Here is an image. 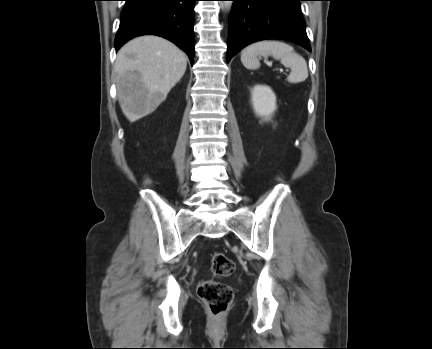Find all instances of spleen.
Masks as SVG:
<instances>
[{
    "mask_svg": "<svg viewBox=\"0 0 432 349\" xmlns=\"http://www.w3.org/2000/svg\"><path fill=\"white\" fill-rule=\"evenodd\" d=\"M258 56H272L291 69L287 77L289 83L303 82L308 78L305 59L294 48L281 41L264 40L247 46L241 53V62L245 68L255 70L260 67Z\"/></svg>",
    "mask_w": 432,
    "mask_h": 349,
    "instance_id": "obj_1",
    "label": "spleen"
}]
</instances>
